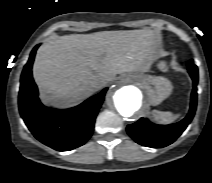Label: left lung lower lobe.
<instances>
[{"instance_id": "left-lung-lower-lobe-1", "label": "left lung lower lobe", "mask_w": 212, "mask_h": 183, "mask_svg": "<svg viewBox=\"0 0 212 183\" xmlns=\"http://www.w3.org/2000/svg\"><path fill=\"white\" fill-rule=\"evenodd\" d=\"M187 66L193 80L191 107L188 115L182 121L171 125H156L144 118L128 125L127 132L129 136L140 145L152 148L168 146L182 134L193 119L197 105L198 68L192 61Z\"/></svg>"}]
</instances>
